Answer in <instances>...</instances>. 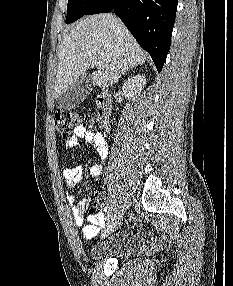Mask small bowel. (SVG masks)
Masks as SVG:
<instances>
[{
  "instance_id": "small-bowel-1",
  "label": "small bowel",
  "mask_w": 233,
  "mask_h": 286,
  "mask_svg": "<svg viewBox=\"0 0 233 286\" xmlns=\"http://www.w3.org/2000/svg\"><path fill=\"white\" fill-rule=\"evenodd\" d=\"M81 139H84L86 143L94 146L97 151V161L91 166L90 174L92 176L101 175L103 165L108 154V143L105 137L100 132L88 130L86 127L79 125L75 128L73 136L66 141V149L76 147ZM62 176L66 187L68 189H73L83 181V169L80 166L65 167L62 170ZM67 201L72 206V215L75 225L82 227L83 236L86 239H92L95 237L98 234L100 227L104 224L105 214L102 211H91L90 215L88 216V223L85 224L84 213L86 209V201L83 200L76 202V198L73 194L67 195ZM105 205V197L98 194L96 197L95 206L105 207Z\"/></svg>"
}]
</instances>
